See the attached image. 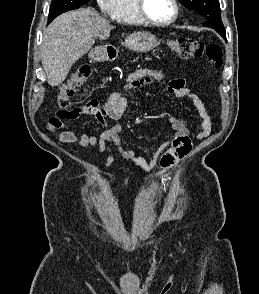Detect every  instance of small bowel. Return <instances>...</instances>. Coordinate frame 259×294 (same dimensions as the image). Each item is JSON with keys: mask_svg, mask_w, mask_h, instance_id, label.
<instances>
[{"mask_svg": "<svg viewBox=\"0 0 259 294\" xmlns=\"http://www.w3.org/2000/svg\"><path fill=\"white\" fill-rule=\"evenodd\" d=\"M153 79L164 80V76L158 71L142 70L131 76L124 87L113 90L105 103L102 104L98 100L92 99L72 108L68 115L58 111L48 119L45 128L50 133L55 134L60 143H75L81 149L98 147L99 153L106 152L105 166H110L113 163L112 148L115 147L123 158L132 160L143 172L150 171L158 160L161 168L167 170L191 151L193 139L200 140L210 134L212 123L201 99L187 88L185 80L175 79L168 82L167 91L174 97H187L192 101L201 118L196 132L190 135L189 130L181 119L171 117L169 122L175 131V137L171 142L165 143L156 151L150 160H147L134 150L125 148L121 140V125L109 126L108 121L110 119H119L127 109L128 99L126 93L142 88L151 83ZM151 94L147 93V95ZM82 115L93 116L104 127V131L100 135H89L84 131L68 128L67 120H74ZM164 148H166L165 151H163Z\"/></svg>", "mask_w": 259, "mask_h": 294, "instance_id": "obj_1", "label": "small bowel"}]
</instances>
